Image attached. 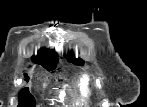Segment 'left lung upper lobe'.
Here are the masks:
<instances>
[{
	"instance_id": "obj_1",
	"label": "left lung upper lobe",
	"mask_w": 147,
	"mask_h": 107,
	"mask_svg": "<svg viewBox=\"0 0 147 107\" xmlns=\"http://www.w3.org/2000/svg\"><path fill=\"white\" fill-rule=\"evenodd\" d=\"M67 60H68L69 62H72V63L76 64V65H83V64H84V61H83L82 59H80V58H79V59H76V58L74 57L73 53H71V54L68 56Z\"/></svg>"
}]
</instances>
